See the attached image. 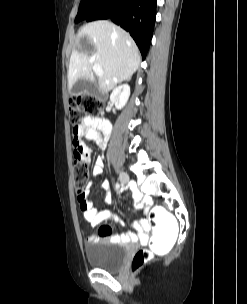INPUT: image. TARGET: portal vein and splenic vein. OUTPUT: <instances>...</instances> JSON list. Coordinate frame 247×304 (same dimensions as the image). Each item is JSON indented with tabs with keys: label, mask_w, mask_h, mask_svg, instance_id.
Listing matches in <instances>:
<instances>
[{
	"label": "portal vein and splenic vein",
	"mask_w": 247,
	"mask_h": 304,
	"mask_svg": "<svg viewBox=\"0 0 247 304\" xmlns=\"http://www.w3.org/2000/svg\"><path fill=\"white\" fill-rule=\"evenodd\" d=\"M92 68H93V71L95 72V74L97 76H102L103 75V70H102L100 65L95 64V65H93Z\"/></svg>",
	"instance_id": "obj_1"
}]
</instances>
